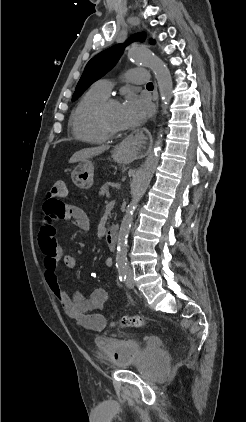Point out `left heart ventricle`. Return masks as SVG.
<instances>
[{"mask_svg": "<svg viewBox=\"0 0 246 422\" xmlns=\"http://www.w3.org/2000/svg\"><path fill=\"white\" fill-rule=\"evenodd\" d=\"M106 120L110 127L122 130V124H121V117H120V105H112L108 108L106 112Z\"/></svg>", "mask_w": 246, "mask_h": 422, "instance_id": "obj_1", "label": "left heart ventricle"}]
</instances>
